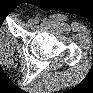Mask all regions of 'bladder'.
Returning <instances> with one entry per match:
<instances>
[{
  "label": "bladder",
  "mask_w": 93,
  "mask_h": 93,
  "mask_svg": "<svg viewBox=\"0 0 93 93\" xmlns=\"http://www.w3.org/2000/svg\"><path fill=\"white\" fill-rule=\"evenodd\" d=\"M0 35H1V45L2 46H8L10 44H13V38L8 31H6V30L1 31Z\"/></svg>",
  "instance_id": "31cf9c89"
}]
</instances>
